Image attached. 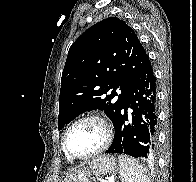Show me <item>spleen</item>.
Masks as SVG:
<instances>
[{"label":"spleen","mask_w":196,"mask_h":182,"mask_svg":"<svg viewBox=\"0 0 196 182\" xmlns=\"http://www.w3.org/2000/svg\"><path fill=\"white\" fill-rule=\"evenodd\" d=\"M118 161L121 182H150L146 169L135 159L119 155Z\"/></svg>","instance_id":"obj_1"}]
</instances>
